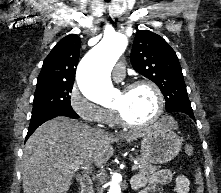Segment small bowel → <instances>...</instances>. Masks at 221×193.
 Here are the masks:
<instances>
[{
  "label": "small bowel",
  "instance_id": "1",
  "mask_svg": "<svg viewBox=\"0 0 221 193\" xmlns=\"http://www.w3.org/2000/svg\"><path fill=\"white\" fill-rule=\"evenodd\" d=\"M173 179L169 169H161L146 176L133 178L132 187L139 190V193H154L157 185L169 184ZM176 193H189L190 181L187 176L180 174L175 178Z\"/></svg>",
  "mask_w": 221,
  "mask_h": 193
}]
</instances>
